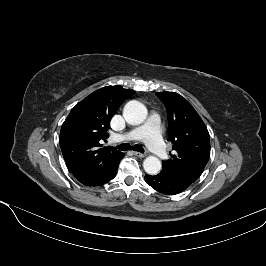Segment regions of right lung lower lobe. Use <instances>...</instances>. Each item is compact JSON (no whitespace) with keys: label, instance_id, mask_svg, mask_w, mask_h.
I'll return each mask as SVG.
<instances>
[{"label":"right lung lower lobe","instance_id":"right-lung-lower-lobe-1","mask_svg":"<svg viewBox=\"0 0 266 266\" xmlns=\"http://www.w3.org/2000/svg\"><path fill=\"white\" fill-rule=\"evenodd\" d=\"M124 157V156H123ZM122 157V158H123ZM120 162V161H119ZM119 162L113 167V169L107 173L106 175L102 176L99 179H96L90 183L84 184L86 186H98V185H103L104 183L108 182L109 180L113 179L116 176L117 173V168L119 166Z\"/></svg>","mask_w":266,"mask_h":266}]
</instances>
